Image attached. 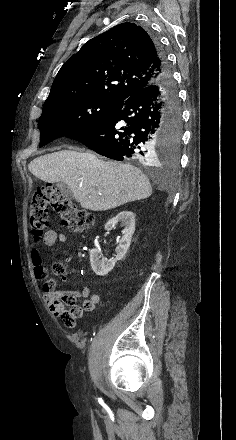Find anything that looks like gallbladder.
I'll return each mask as SVG.
<instances>
[{
	"instance_id": "1",
	"label": "gallbladder",
	"mask_w": 236,
	"mask_h": 440,
	"mask_svg": "<svg viewBox=\"0 0 236 440\" xmlns=\"http://www.w3.org/2000/svg\"><path fill=\"white\" fill-rule=\"evenodd\" d=\"M56 188L60 191V193L66 197L73 198V194L69 187L64 182H57Z\"/></svg>"
}]
</instances>
